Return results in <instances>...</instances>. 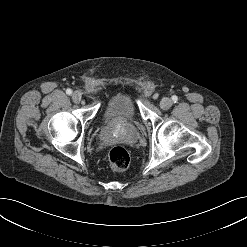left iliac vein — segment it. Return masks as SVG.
Returning <instances> with one entry per match:
<instances>
[{
  "label": "left iliac vein",
  "instance_id": "4c4485c4",
  "mask_svg": "<svg viewBox=\"0 0 247 247\" xmlns=\"http://www.w3.org/2000/svg\"><path fill=\"white\" fill-rule=\"evenodd\" d=\"M173 102L171 99L169 98H163L161 101H160V108L163 109V110H168L171 108Z\"/></svg>",
  "mask_w": 247,
  "mask_h": 247
}]
</instances>
